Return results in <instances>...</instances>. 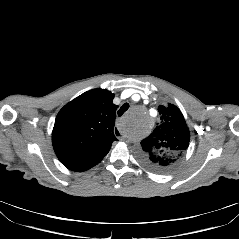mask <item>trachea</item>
Here are the masks:
<instances>
[{
	"label": "trachea",
	"mask_w": 239,
	"mask_h": 239,
	"mask_svg": "<svg viewBox=\"0 0 239 239\" xmlns=\"http://www.w3.org/2000/svg\"><path fill=\"white\" fill-rule=\"evenodd\" d=\"M129 108V104L125 103L121 106V108L118 110V116H122L125 111H127Z\"/></svg>",
	"instance_id": "1"
}]
</instances>
